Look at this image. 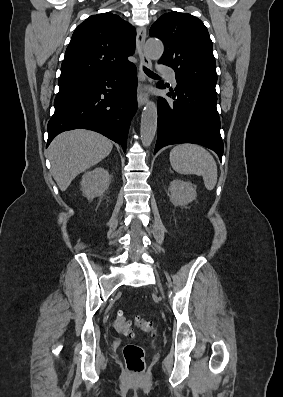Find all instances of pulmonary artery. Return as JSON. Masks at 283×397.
I'll return each instance as SVG.
<instances>
[{
	"instance_id": "e3ab8cb5",
	"label": "pulmonary artery",
	"mask_w": 283,
	"mask_h": 397,
	"mask_svg": "<svg viewBox=\"0 0 283 397\" xmlns=\"http://www.w3.org/2000/svg\"><path fill=\"white\" fill-rule=\"evenodd\" d=\"M159 70L161 73L166 74L170 78V80L174 86L177 85V81L175 78V72L172 69L165 67V66H161Z\"/></svg>"
}]
</instances>
